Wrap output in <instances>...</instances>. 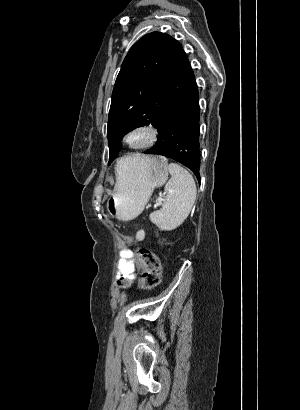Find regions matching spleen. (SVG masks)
I'll return each instance as SVG.
<instances>
[{
    "label": "spleen",
    "instance_id": "1",
    "mask_svg": "<svg viewBox=\"0 0 300 410\" xmlns=\"http://www.w3.org/2000/svg\"><path fill=\"white\" fill-rule=\"evenodd\" d=\"M128 168L125 158L116 165L117 178ZM170 180L165 185L166 198L162 209L150 214V220L161 230H173L188 217L196 199V185L192 175L177 163H170Z\"/></svg>",
    "mask_w": 300,
    "mask_h": 410
}]
</instances>
